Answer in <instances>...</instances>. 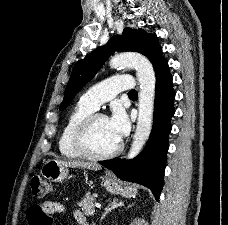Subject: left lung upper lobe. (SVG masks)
Segmentation results:
<instances>
[{"mask_svg": "<svg viewBox=\"0 0 228 225\" xmlns=\"http://www.w3.org/2000/svg\"><path fill=\"white\" fill-rule=\"evenodd\" d=\"M116 50L141 53L150 60L153 67L164 59L155 34L147 33L143 29L125 28L122 36L112 37L105 46L98 47L74 65L60 110H64L70 104L79 90L93 78Z\"/></svg>", "mask_w": 228, "mask_h": 225, "instance_id": "5c2ea615", "label": "left lung upper lobe"}]
</instances>
